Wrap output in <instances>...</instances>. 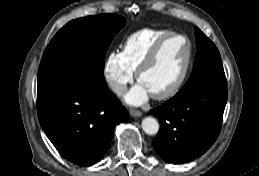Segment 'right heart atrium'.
Masks as SVG:
<instances>
[{
    "label": "right heart atrium",
    "mask_w": 259,
    "mask_h": 176,
    "mask_svg": "<svg viewBox=\"0 0 259 176\" xmlns=\"http://www.w3.org/2000/svg\"><path fill=\"white\" fill-rule=\"evenodd\" d=\"M103 75L112 91L120 95L132 82L134 72L126 65L121 51H111L105 59Z\"/></svg>",
    "instance_id": "1"
}]
</instances>
